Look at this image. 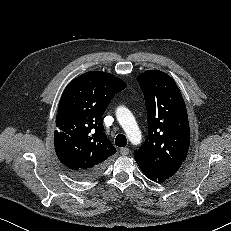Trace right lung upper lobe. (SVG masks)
<instances>
[{
  "label": "right lung upper lobe",
  "mask_w": 231,
  "mask_h": 231,
  "mask_svg": "<svg viewBox=\"0 0 231 231\" xmlns=\"http://www.w3.org/2000/svg\"><path fill=\"white\" fill-rule=\"evenodd\" d=\"M126 84L102 71H89L65 88L56 116L54 144L59 160L70 172L103 168L116 153L104 133L102 115Z\"/></svg>",
  "instance_id": "1"
}]
</instances>
